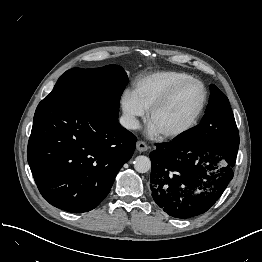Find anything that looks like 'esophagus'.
I'll return each instance as SVG.
<instances>
[{
  "label": "esophagus",
  "mask_w": 262,
  "mask_h": 262,
  "mask_svg": "<svg viewBox=\"0 0 262 262\" xmlns=\"http://www.w3.org/2000/svg\"><path fill=\"white\" fill-rule=\"evenodd\" d=\"M136 148H137V150H138L139 152H145V151H147L148 146H147V144H146L145 142H143V141H138V142L136 143Z\"/></svg>",
  "instance_id": "obj_1"
}]
</instances>
